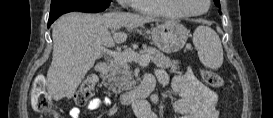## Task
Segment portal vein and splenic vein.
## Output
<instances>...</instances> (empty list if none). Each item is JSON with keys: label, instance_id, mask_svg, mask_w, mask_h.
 Here are the masks:
<instances>
[{"label": "portal vein and splenic vein", "instance_id": "obj_1", "mask_svg": "<svg viewBox=\"0 0 273 118\" xmlns=\"http://www.w3.org/2000/svg\"><path fill=\"white\" fill-rule=\"evenodd\" d=\"M95 49L99 51H107L109 55L115 58H119L121 60L129 61V62H138L140 65H145L147 64L150 59L149 56L147 55H140L137 52L134 51H126V52H119V51H113L109 48H105L102 45L94 46ZM106 47H111V46H106Z\"/></svg>", "mask_w": 273, "mask_h": 118}]
</instances>
